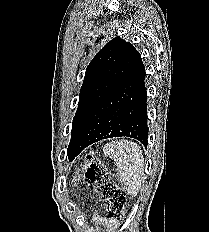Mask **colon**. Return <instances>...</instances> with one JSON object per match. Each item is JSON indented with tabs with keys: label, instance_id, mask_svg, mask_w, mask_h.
Segmentation results:
<instances>
[{
	"label": "colon",
	"instance_id": "5ec220e1",
	"mask_svg": "<svg viewBox=\"0 0 209 232\" xmlns=\"http://www.w3.org/2000/svg\"><path fill=\"white\" fill-rule=\"evenodd\" d=\"M84 179L104 200L109 218L121 219L124 214L126 197L100 159L96 157L87 159Z\"/></svg>",
	"mask_w": 209,
	"mask_h": 232
}]
</instances>
